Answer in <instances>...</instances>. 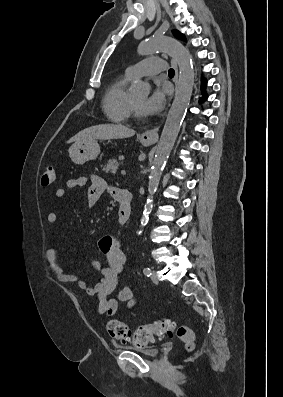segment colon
<instances>
[{
	"label": "colon",
	"mask_w": 283,
	"mask_h": 397,
	"mask_svg": "<svg viewBox=\"0 0 283 397\" xmlns=\"http://www.w3.org/2000/svg\"><path fill=\"white\" fill-rule=\"evenodd\" d=\"M56 179L55 168L47 166L41 175L42 186H50L54 184ZM107 331L109 335L119 341L129 342L134 346L143 347L155 338H172L175 334V322L171 319H162L154 323L139 326L135 330L118 320H110L107 323ZM177 336L185 343L188 350L194 347V334L185 326L177 330Z\"/></svg>",
	"instance_id": "obj_1"
}]
</instances>
